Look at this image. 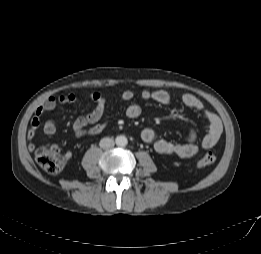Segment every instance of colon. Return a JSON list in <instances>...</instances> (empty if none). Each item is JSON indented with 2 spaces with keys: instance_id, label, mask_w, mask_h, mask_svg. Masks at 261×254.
Returning <instances> with one entry per match:
<instances>
[{
  "instance_id": "obj_1",
  "label": "colon",
  "mask_w": 261,
  "mask_h": 254,
  "mask_svg": "<svg viewBox=\"0 0 261 254\" xmlns=\"http://www.w3.org/2000/svg\"><path fill=\"white\" fill-rule=\"evenodd\" d=\"M35 159L38 165L50 174L60 172L65 165V157L57 145H44L35 150ZM216 160V155L208 152L201 156L196 166L199 168L209 166Z\"/></svg>"
}]
</instances>
